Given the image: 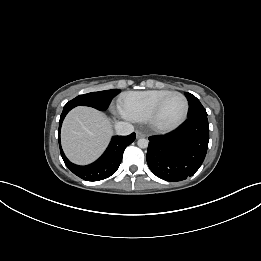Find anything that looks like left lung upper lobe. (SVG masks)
<instances>
[{"label":"left lung upper lobe","instance_id":"5c2ea615","mask_svg":"<svg viewBox=\"0 0 261 261\" xmlns=\"http://www.w3.org/2000/svg\"><path fill=\"white\" fill-rule=\"evenodd\" d=\"M189 101V114L188 118L198 116V115H207L205 108L202 106L200 101L192 94L185 93Z\"/></svg>","mask_w":261,"mask_h":261}]
</instances>
